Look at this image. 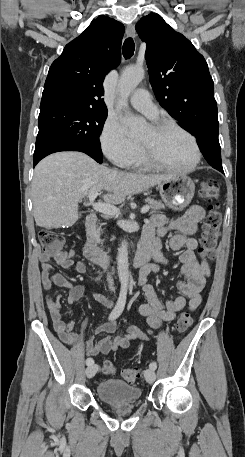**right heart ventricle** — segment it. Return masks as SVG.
<instances>
[{
  "mask_svg": "<svg viewBox=\"0 0 245 457\" xmlns=\"http://www.w3.org/2000/svg\"><path fill=\"white\" fill-rule=\"evenodd\" d=\"M124 165L130 168H141L145 166L137 152Z\"/></svg>",
  "mask_w": 245,
  "mask_h": 457,
  "instance_id": "1",
  "label": "right heart ventricle"
}]
</instances>
